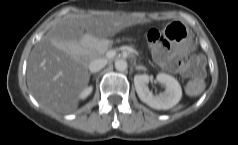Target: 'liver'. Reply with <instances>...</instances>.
<instances>
[{
  "label": "liver",
  "mask_w": 238,
  "mask_h": 145,
  "mask_svg": "<svg viewBox=\"0 0 238 145\" xmlns=\"http://www.w3.org/2000/svg\"><path fill=\"white\" fill-rule=\"evenodd\" d=\"M136 14L106 12L100 16L74 15L55 23L32 49L27 65V85L49 110L71 113L89 82L90 50L81 47L84 32L102 39L135 24Z\"/></svg>",
  "instance_id": "obj_1"
}]
</instances>
